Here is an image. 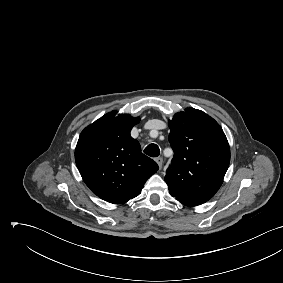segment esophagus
Listing matches in <instances>:
<instances>
[{"label": "esophagus", "instance_id": "1", "mask_svg": "<svg viewBox=\"0 0 283 283\" xmlns=\"http://www.w3.org/2000/svg\"><path fill=\"white\" fill-rule=\"evenodd\" d=\"M156 163L158 164V166L161 168L162 167V164H163V159L162 157H157L155 159Z\"/></svg>", "mask_w": 283, "mask_h": 283}]
</instances>
